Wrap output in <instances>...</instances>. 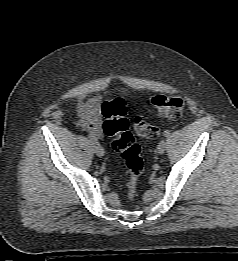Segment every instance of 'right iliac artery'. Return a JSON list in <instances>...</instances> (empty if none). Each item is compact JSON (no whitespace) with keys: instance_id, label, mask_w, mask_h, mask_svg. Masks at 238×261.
Masks as SVG:
<instances>
[{"instance_id":"82829eb1","label":"right iliac artery","mask_w":238,"mask_h":261,"mask_svg":"<svg viewBox=\"0 0 238 261\" xmlns=\"http://www.w3.org/2000/svg\"><path fill=\"white\" fill-rule=\"evenodd\" d=\"M88 136H89L90 141L93 144H97L98 143L97 139L92 134H89Z\"/></svg>"}]
</instances>
